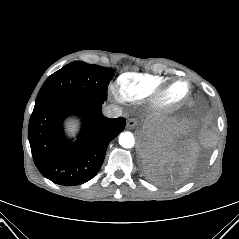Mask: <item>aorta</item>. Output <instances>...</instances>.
Returning <instances> with one entry per match:
<instances>
[{
    "label": "aorta",
    "instance_id": "aorta-1",
    "mask_svg": "<svg viewBox=\"0 0 239 239\" xmlns=\"http://www.w3.org/2000/svg\"><path fill=\"white\" fill-rule=\"evenodd\" d=\"M119 144L126 149L133 148L135 145L134 135L129 131L122 132L119 135Z\"/></svg>",
    "mask_w": 239,
    "mask_h": 239
}]
</instances>
